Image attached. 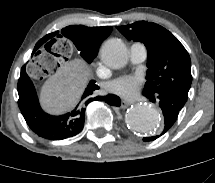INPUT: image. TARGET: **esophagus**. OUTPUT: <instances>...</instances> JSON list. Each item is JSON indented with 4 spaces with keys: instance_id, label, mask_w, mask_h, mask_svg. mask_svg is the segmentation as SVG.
I'll list each match as a JSON object with an SVG mask.
<instances>
[{
    "instance_id": "obj_1",
    "label": "esophagus",
    "mask_w": 215,
    "mask_h": 183,
    "mask_svg": "<svg viewBox=\"0 0 215 183\" xmlns=\"http://www.w3.org/2000/svg\"><path fill=\"white\" fill-rule=\"evenodd\" d=\"M133 103H134V101L122 100L121 107L126 108L127 106H129V105H131Z\"/></svg>"
}]
</instances>
